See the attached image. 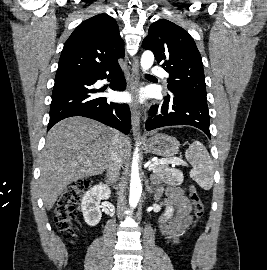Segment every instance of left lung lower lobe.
<instances>
[{
  "instance_id": "0a47b994",
  "label": "left lung lower lobe",
  "mask_w": 267,
  "mask_h": 270,
  "mask_svg": "<svg viewBox=\"0 0 267 270\" xmlns=\"http://www.w3.org/2000/svg\"><path fill=\"white\" fill-rule=\"evenodd\" d=\"M146 121V130L173 125H190L202 130L209 138V111L207 101L181 95L165 97L153 105Z\"/></svg>"
}]
</instances>
